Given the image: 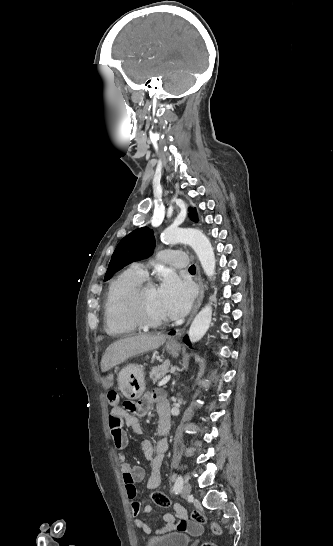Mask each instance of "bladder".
Here are the masks:
<instances>
[{
    "mask_svg": "<svg viewBox=\"0 0 333 546\" xmlns=\"http://www.w3.org/2000/svg\"><path fill=\"white\" fill-rule=\"evenodd\" d=\"M190 536L182 532H174L162 536H152L146 546H188Z\"/></svg>",
    "mask_w": 333,
    "mask_h": 546,
    "instance_id": "obj_1",
    "label": "bladder"
}]
</instances>
